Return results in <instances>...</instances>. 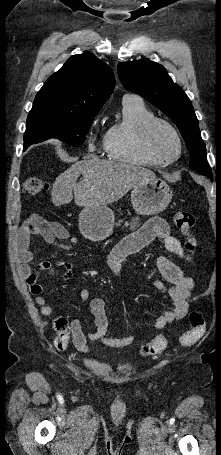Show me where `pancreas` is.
Listing matches in <instances>:
<instances>
[{
    "instance_id": "obj_1",
    "label": "pancreas",
    "mask_w": 221,
    "mask_h": 455,
    "mask_svg": "<svg viewBox=\"0 0 221 455\" xmlns=\"http://www.w3.org/2000/svg\"><path fill=\"white\" fill-rule=\"evenodd\" d=\"M122 221H119L118 222V225L121 224ZM130 227L131 230H135L136 228H138L140 226V221H139V218L136 217V218H133L130 222H125L124 223V227Z\"/></svg>"
}]
</instances>
